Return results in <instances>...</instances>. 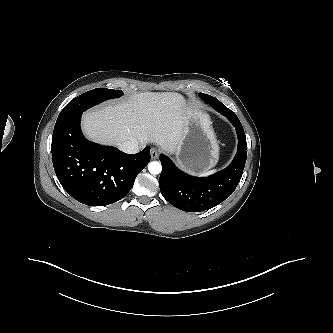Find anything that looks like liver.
<instances>
[{
	"mask_svg": "<svg viewBox=\"0 0 333 333\" xmlns=\"http://www.w3.org/2000/svg\"><path fill=\"white\" fill-rule=\"evenodd\" d=\"M186 105L173 92H144L108 104L83 115L82 129L96 142L120 147L137 141L141 147L153 142L173 152L182 137Z\"/></svg>",
	"mask_w": 333,
	"mask_h": 333,
	"instance_id": "liver-1",
	"label": "liver"
}]
</instances>
